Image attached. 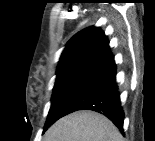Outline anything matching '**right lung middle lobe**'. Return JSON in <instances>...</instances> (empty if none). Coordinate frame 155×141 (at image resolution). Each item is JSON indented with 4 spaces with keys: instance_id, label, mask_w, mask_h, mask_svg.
I'll use <instances>...</instances> for the list:
<instances>
[{
    "instance_id": "dd1d6c3e",
    "label": "right lung middle lobe",
    "mask_w": 155,
    "mask_h": 141,
    "mask_svg": "<svg viewBox=\"0 0 155 141\" xmlns=\"http://www.w3.org/2000/svg\"><path fill=\"white\" fill-rule=\"evenodd\" d=\"M92 70H72L57 75L52 94V103L44 132L60 118V111L73 94L93 75Z\"/></svg>"
}]
</instances>
